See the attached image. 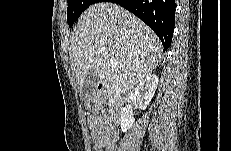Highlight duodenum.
Instances as JSON below:
<instances>
[{
    "label": "duodenum",
    "mask_w": 231,
    "mask_h": 151,
    "mask_svg": "<svg viewBox=\"0 0 231 151\" xmlns=\"http://www.w3.org/2000/svg\"><path fill=\"white\" fill-rule=\"evenodd\" d=\"M96 91L98 94L105 96L111 100V110L114 114L111 116L113 122L118 121L121 115V101H120V89L116 86H110L106 82H98L96 85Z\"/></svg>",
    "instance_id": "duodenum-1"
}]
</instances>
